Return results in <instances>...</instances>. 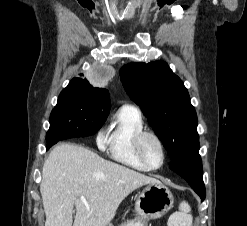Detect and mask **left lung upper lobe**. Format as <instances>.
<instances>
[{
  "instance_id": "left-lung-upper-lobe-1",
  "label": "left lung upper lobe",
  "mask_w": 247,
  "mask_h": 226,
  "mask_svg": "<svg viewBox=\"0 0 247 226\" xmlns=\"http://www.w3.org/2000/svg\"><path fill=\"white\" fill-rule=\"evenodd\" d=\"M120 77L171 160L194 157L200 148L197 115L182 80L163 61L126 64Z\"/></svg>"
}]
</instances>
